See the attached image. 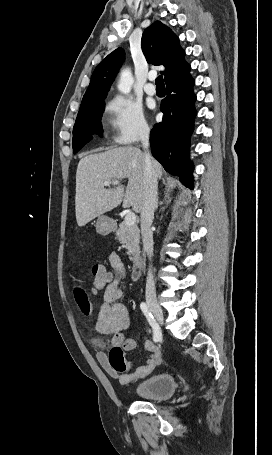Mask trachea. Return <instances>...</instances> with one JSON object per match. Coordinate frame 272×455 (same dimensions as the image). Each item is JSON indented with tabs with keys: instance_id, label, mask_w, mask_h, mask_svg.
I'll return each instance as SVG.
<instances>
[{
	"instance_id": "3493384b",
	"label": "trachea",
	"mask_w": 272,
	"mask_h": 455,
	"mask_svg": "<svg viewBox=\"0 0 272 455\" xmlns=\"http://www.w3.org/2000/svg\"><path fill=\"white\" fill-rule=\"evenodd\" d=\"M155 84H156L157 87H165L163 76L159 75L156 78Z\"/></svg>"
}]
</instances>
